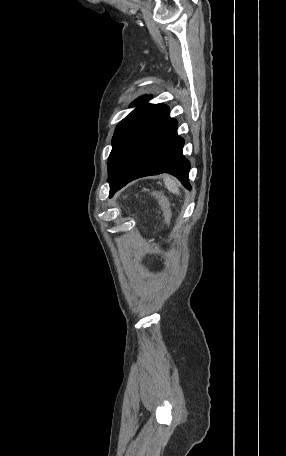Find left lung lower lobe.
<instances>
[{"label":"left lung lower lobe","instance_id":"1","mask_svg":"<svg viewBox=\"0 0 286 456\" xmlns=\"http://www.w3.org/2000/svg\"><path fill=\"white\" fill-rule=\"evenodd\" d=\"M184 140L177 135V121L169 108L135 139L110 182V197L128 182L160 173H170L190 189L189 161L183 156Z\"/></svg>","mask_w":286,"mask_h":456}]
</instances>
